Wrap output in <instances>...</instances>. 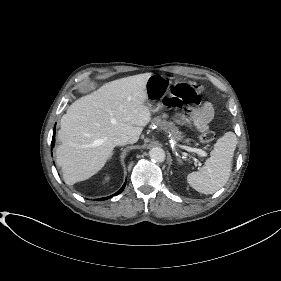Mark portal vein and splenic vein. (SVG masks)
Returning <instances> with one entry per match:
<instances>
[{
    "mask_svg": "<svg viewBox=\"0 0 281 281\" xmlns=\"http://www.w3.org/2000/svg\"><path fill=\"white\" fill-rule=\"evenodd\" d=\"M182 148H184L185 150L189 151V152H194L199 154L200 156H206V152L203 151L202 149H198V148H192V147H188V146H182Z\"/></svg>",
    "mask_w": 281,
    "mask_h": 281,
    "instance_id": "obj_1",
    "label": "portal vein and splenic vein"
}]
</instances>
